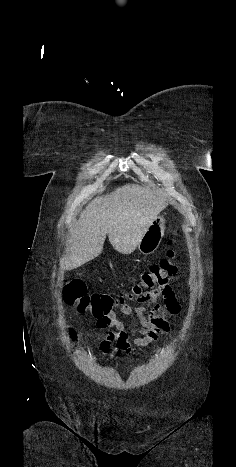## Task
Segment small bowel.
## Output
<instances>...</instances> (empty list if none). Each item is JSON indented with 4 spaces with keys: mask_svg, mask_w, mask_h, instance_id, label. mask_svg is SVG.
<instances>
[{
    "mask_svg": "<svg viewBox=\"0 0 236 467\" xmlns=\"http://www.w3.org/2000/svg\"><path fill=\"white\" fill-rule=\"evenodd\" d=\"M160 295L164 298L163 304L156 302ZM138 301L141 304L135 310L129 303H125L121 307V312L124 315L139 322L134 331L140 334V337L133 339L132 342L129 341L125 325L118 315L111 312L107 316L96 318L95 327L97 329L103 330L110 326L114 328L113 331L105 335L101 342L104 353H109L111 343L116 342V348L112 355L130 354L138 348L157 341L161 336L170 332L171 317L177 315L181 309L175 290L171 285H166L160 290L146 294L139 298ZM148 307H151V310L146 314Z\"/></svg>",
    "mask_w": 236,
    "mask_h": 467,
    "instance_id": "obj_1",
    "label": "small bowel"
}]
</instances>
